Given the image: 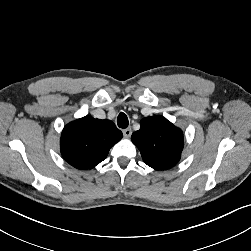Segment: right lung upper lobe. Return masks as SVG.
<instances>
[{
    "mask_svg": "<svg viewBox=\"0 0 251 251\" xmlns=\"http://www.w3.org/2000/svg\"><path fill=\"white\" fill-rule=\"evenodd\" d=\"M110 120L85 116L67 124L61 135L63 158L77 169H91L102 162L110 148L122 138Z\"/></svg>",
    "mask_w": 251,
    "mask_h": 251,
    "instance_id": "1",
    "label": "right lung upper lobe"
}]
</instances>
